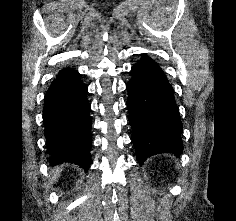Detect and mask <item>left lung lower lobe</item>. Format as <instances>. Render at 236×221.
<instances>
[{
  "label": "left lung lower lobe",
  "mask_w": 236,
  "mask_h": 221,
  "mask_svg": "<svg viewBox=\"0 0 236 221\" xmlns=\"http://www.w3.org/2000/svg\"><path fill=\"white\" fill-rule=\"evenodd\" d=\"M127 106L140 164L149 156L183 153L179 110L174 91L153 59L144 55L132 68Z\"/></svg>",
  "instance_id": "0a47b994"
}]
</instances>
